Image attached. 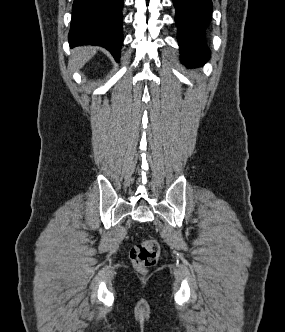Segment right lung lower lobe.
Masks as SVG:
<instances>
[{
	"label": "right lung lower lobe",
	"instance_id": "1",
	"mask_svg": "<svg viewBox=\"0 0 285 332\" xmlns=\"http://www.w3.org/2000/svg\"><path fill=\"white\" fill-rule=\"evenodd\" d=\"M123 0H74L69 43L97 45L118 61L123 43Z\"/></svg>",
	"mask_w": 285,
	"mask_h": 332
}]
</instances>
